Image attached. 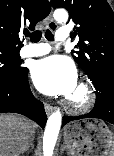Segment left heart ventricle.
<instances>
[{"mask_svg": "<svg viewBox=\"0 0 114 156\" xmlns=\"http://www.w3.org/2000/svg\"><path fill=\"white\" fill-rule=\"evenodd\" d=\"M70 97L78 100L81 97V94L79 92V90L77 88H75V90L73 91V93L70 95Z\"/></svg>", "mask_w": 114, "mask_h": 156, "instance_id": "b2bd125f", "label": "left heart ventricle"}]
</instances>
